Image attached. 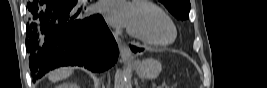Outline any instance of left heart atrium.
<instances>
[{"label": "left heart atrium", "instance_id": "39dd6f15", "mask_svg": "<svg viewBox=\"0 0 267 88\" xmlns=\"http://www.w3.org/2000/svg\"><path fill=\"white\" fill-rule=\"evenodd\" d=\"M100 11L113 26H129L132 15V5L121 0H107L100 4Z\"/></svg>", "mask_w": 267, "mask_h": 88}]
</instances>
